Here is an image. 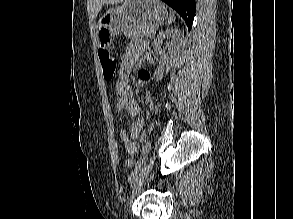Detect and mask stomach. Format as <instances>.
<instances>
[{
  "label": "stomach",
  "instance_id": "obj_1",
  "mask_svg": "<svg viewBox=\"0 0 293 219\" xmlns=\"http://www.w3.org/2000/svg\"><path fill=\"white\" fill-rule=\"evenodd\" d=\"M168 12L160 0H129L121 6L108 9L97 24V44L108 48L115 37L124 32L134 22L162 21Z\"/></svg>",
  "mask_w": 293,
  "mask_h": 219
}]
</instances>
